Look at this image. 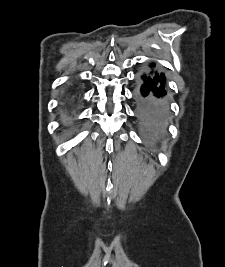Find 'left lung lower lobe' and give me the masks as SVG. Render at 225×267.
<instances>
[{"label": "left lung lower lobe", "mask_w": 225, "mask_h": 267, "mask_svg": "<svg viewBox=\"0 0 225 267\" xmlns=\"http://www.w3.org/2000/svg\"><path fill=\"white\" fill-rule=\"evenodd\" d=\"M166 94L165 75L151 63L143 71L138 82L136 89L138 108L147 110L153 121L165 125L169 117Z\"/></svg>", "instance_id": "left-lung-lower-lobe-1"}]
</instances>
